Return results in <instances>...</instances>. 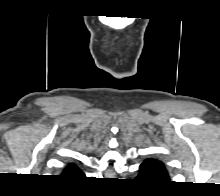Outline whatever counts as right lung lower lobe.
Segmentation results:
<instances>
[{
  "label": "right lung lower lobe",
  "instance_id": "right-lung-lower-lobe-1",
  "mask_svg": "<svg viewBox=\"0 0 220 196\" xmlns=\"http://www.w3.org/2000/svg\"><path fill=\"white\" fill-rule=\"evenodd\" d=\"M84 174H82V175H78V176H67V177H69V178H81V176H83Z\"/></svg>",
  "mask_w": 220,
  "mask_h": 196
}]
</instances>
